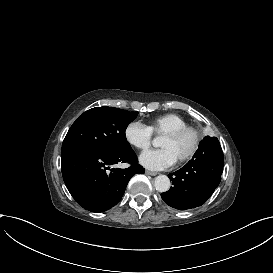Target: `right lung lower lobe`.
I'll return each instance as SVG.
<instances>
[{
    "label": "right lung lower lobe",
    "instance_id": "98d812e1",
    "mask_svg": "<svg viewBox=\"0 0 273 273\" xmlns=\"http://www.w3.org/2000/svg\"><path fill=\"white\" fill-rule=\"evenodd\" d=\"M118 163H129L130 167L110 169L109 166ZM61 170L65 185L76 202L96 213L116 205L130 178L145 171L132 149L122 153L72 151L61 156Z\"/></svg>",
    "mask_w": 273,
    "mask_h": 273
}]
</instances>
